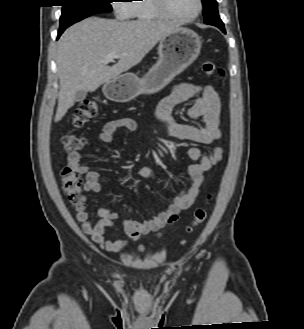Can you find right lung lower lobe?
<instances>
[{
    "instance_id": "98d812e1",
    "label": "right lung lower lobe",
    "mask_w": 304,
    "mask_h": 329,
    "mask_svg": "<svg viewBox=\"0 0 304 329\" xmlns=\"http://www.w3.org/2000/svg\"><path fill=\"white\" fill-rule=\"evenodd\" d=\"M64 30H65V29H59V31H58V37H57V38L60 37V35L63 33Z\"/></svg>"
}]
</instances>
